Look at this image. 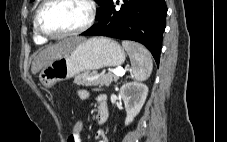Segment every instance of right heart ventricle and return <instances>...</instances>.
<instances>
[{"label":"right heart ventricle","instance_id":"obj_1","mask_svg":"<svg viewBox=\"0 0 227 142\" xmlns=\"http://www.w3.org/2000/svg\"><path fill=\"white\" fill-rule=\"evenodd\" d=\"M33 31H34V39L37 43H44L46 42V38L42 37L41 35H39L35 29V21H33Z\"/></svg>","mask_w":227,"mask_h":142}]
</instances>
